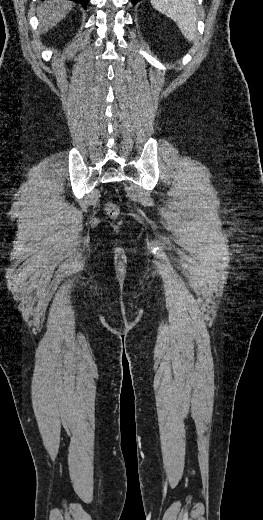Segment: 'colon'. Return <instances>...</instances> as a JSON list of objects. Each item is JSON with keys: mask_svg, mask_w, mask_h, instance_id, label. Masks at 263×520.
I'll use <instances>...</instances> for the list:
<instances>
[{"mask_svg": "<svg viewBox=\"0 0 263 520\" xmlns=\"http://www.w3.org/2000/svg\"><path fill=\"white\" fill-rule=\"evenodd\" d=\"M108 212L110 215L114 216L117 214V208L115 205H110L108 208Z\"/></svg>", "mask_w": 263, "mask_h": 520, "instance_id": "colon-1", "label": "colon"}]
</instances>
